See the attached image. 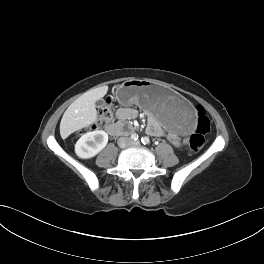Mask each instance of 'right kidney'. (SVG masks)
Returning a JSON list of instances; mask_svg holds the SVG:
<instances>
[{"label":"right kidney","instance_id":"obj_1","mask_svg":"<svg viewBox=\"0 0 264 264\" xmlns=\"http://www.w3.org/2000/svg\"><path fill=\"white\" fill-rule=\"evenodd\" d=\"M108 143V134L102 130L88 132L75 144V153L79 158L89 159L96 156Z\"/></svg>","mask_w":264,"mask_h":264}]
</instances>
